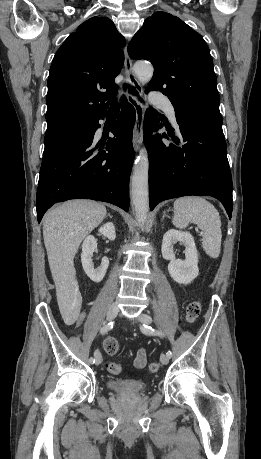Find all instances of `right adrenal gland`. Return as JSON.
<instances>
[{"label":"right adrenal gland","instance_id":"2a0ac1e0","mask_svg":"<svg viewBox=\"0 0 261 459\" xmlns=\"http://www.w3.org/2000/svg\"><path fill=\"white\" fill-rule=\"evenodd\" d=\"M107 216H108L109 218H112V216L110 215V213H108Z\"/></svg>","mask_w":261,"mask_h":459}]
</instances>
